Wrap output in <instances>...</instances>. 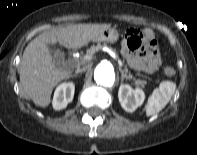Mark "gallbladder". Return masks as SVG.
<instances>
[{
    "mask_svg": "<svg viewBox=\"0 0 197 155\" xmlns=\"http://www.w3.org/2000/svg\"><path fill=\"white\" fill-rule=\"evenodd\" d=\"M48 48L53 56V62L55 66L61 67L64 65L65 62V54L59 48H56L53 45H48Z\"/></svg>",
    "mask_w": 197,
    "mask_h": 155,
    "instance_id": "1",
    "label": "gallbladder"
}]
</instances>
